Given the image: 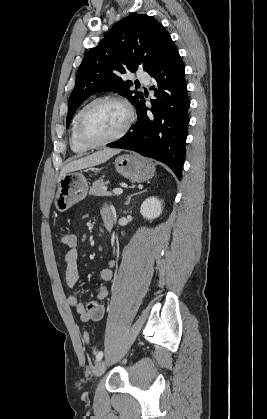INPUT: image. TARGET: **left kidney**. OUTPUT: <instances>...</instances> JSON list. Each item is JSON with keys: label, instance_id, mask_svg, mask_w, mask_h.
<instances>
[{"label": "left kidney", "instance_id": "5707ae66", "mask_svg": "<svg viewBox=\"0 0 267 419\" xmlns=\"http://www.w3.org/2000/svg\"><path fill=\"white\" fill-rule=\"evenodd\" d=\"M162 203L163 202L156 197L147 198L141 205V215L144 218L152 221V219H155L162 214Z\"/></svg>", "mask_w": 267, "mask_h": 419}]
</instances>
